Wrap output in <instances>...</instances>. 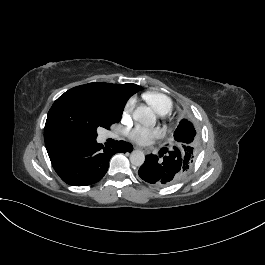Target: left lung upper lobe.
Wrapping results in <instances>:
<instances>
[{
	"label": "left lung upper lobe",
	"mask_w": 265,
	"mask_h": 265,
	"mask_svg": "<svg viewBox=\"0 0 265 265\" xmlns=\"http://www.w3.org/2000/svg\"><path fill=\"white\" fill-rule=\"evenodd\" d=\"M199 145V136L193 124L186 119H182L174 132V140L169 148L178 150L182 156L183 166L185 165L184 175L192 168L198 154Z\"/></svg>",
	"instance_id": "left-lung-upper-lobe-1"
}]
</instances>
